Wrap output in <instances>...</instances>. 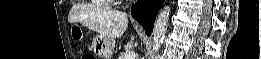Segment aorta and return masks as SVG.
I'll return each mask as SVG.
<instances>
[{
	"label": "aorta",
	"mask_w": 261,
	"mask_h": 59,
	"mask_svg": "<svg viewBox=\"0 0 261 59\" xmlns=\"http://www.w3.org/2000/svg\"><path fill=\"white\" fill-rule=\"evenodd\" d=\"M171 7L165 6L162 11L159 12L152 34V52L157 53L160 50L161 45L164 42L165 35L169 24Z\"/></svg>",
	"instance_id": "aorta-1"
}]
</instances>
